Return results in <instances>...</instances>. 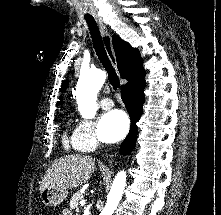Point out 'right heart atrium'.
Returning <instances> with one entry per match:
<instances>
[{"mask_svg":"<svg viewBox=\"0 0 221 215\" xmlns=\"http://www.w3.org/2000/svg\"><path fill=\"white\" fill-rule=\"evenodd\" d=\"M73 137L76 148L83 152L94 150L101 141L94 123L89 119H81L77 122Z\"/></svg>","mask_w":221,"mask_h":215,"instance_id":"d8ad5b80","label":"right heart atrium"}]
</instances>
